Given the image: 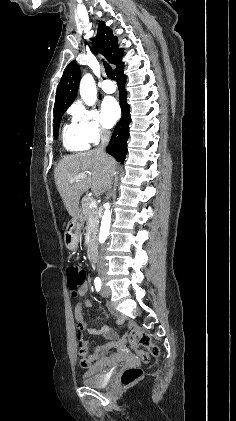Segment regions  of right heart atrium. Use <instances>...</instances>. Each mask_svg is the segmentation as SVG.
<instances>
[{"mask_svg": "<svg viewBox=\"0 0 236 421\" xmlns=\"http://www.w3.org/2000/svg\"><path fill=\"white\" fill-rule=\"evenodd\" d=\"M71 113L73 123L90 143L96 144L109 135L102 116L96 109L78 104Z\"/></svg>", "mask_w": 236, "mask_h": 421, "instance_id": "obj_1", "label": "right heart atrium"}]
</instances>
